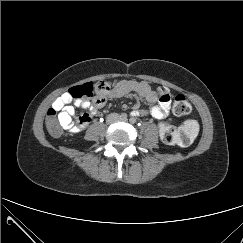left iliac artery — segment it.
<instances>
[{"label":"left iliac artery","instance_id":"1","mask_svg":"<svg viewBox=\"0 0 243 243\" xmlns=\"http://www.w3.org/2000/svg\"><path fill=\"white\" fill-rule=\"evenodd\" d=\"M130 123L132 124L136 123V119L134 117L130 118Z\"/></svg>","mask_w":243,"mask_h":243}]
</instances>
